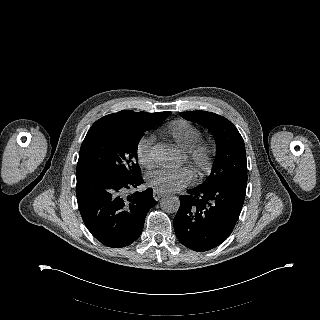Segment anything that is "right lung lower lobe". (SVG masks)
<instances>
[{"label":"right lung lower lobe","instance_id":"right-lung-lower-lobe-1","mask_svg":"<svg viewBox=\"0 0 320 320\" xmlns=\"http://www.w3.org/2000/svg\"><path fill=\"white\" fill-rule=\"evenodd\" d=\"M76 176L79 210L92 235L114 248L134 242L156 204L152 189L128 195L143 183L141 177L126 179L96 167L77 169Z\"/></svg>","mask_w":320,"mask_h":320}]
</instances>
